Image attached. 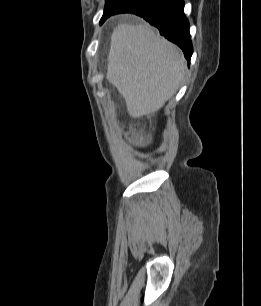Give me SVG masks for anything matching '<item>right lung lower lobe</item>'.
Segmentation results:
<instances>
[{
    "mask_svg": "<svg viewBox=\"0 0 261 306\" xmlns=\"http://www.w3.org/2000/svg\"><path fill=\"white\" fill-rule=\"evenodd\" d=\"M183 0H131L119 9L102 16L101 24L111 15L133 13L157 27L160 34L177 44L190 62L193 53L189 22L184 12Z\"/></svg>",
    "mask_w": 261,
    "mask_h": 306,
    "instance_id": "obj_1",
    "label": "right lung lower lobe"
}]
</instances>
